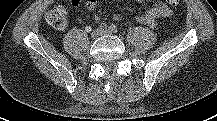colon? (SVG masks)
<instances>
[{
	"label": "colon",
	"mask_w": 217,
	"mask_h": 121,
	"mask_svg": "<svg viewBox=\"0 0 217 121\" xmlns=\"http://www.w3.org/2000/svg\"><path fill=\"white\" fill-rule=\"evenodd\" d=\"M170 5H178L180 0H165ZM68 12L65 6L58 5L52 8L46 15V20L50 26L62 29L67 24Z\"/></svg>",
	"instance_id": "obj_1"
}]
</instances>
